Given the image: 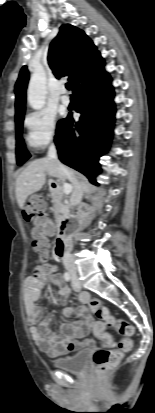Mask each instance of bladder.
Listing matches in <instances>:
<instances>
[{"instance_id":"bladder-1","label":"bladder","mask_w":155,"mask_h":413,"mask_svg":"<svg viewBox=\"0 0 155 413\" xmlns=\"http://www.w3.org/2000/svg\"><path fill=\"white\" fill-rule=\"evenodd\" d=\"M89 354V350H83L75 355L56 359L53 361V365L60 370L81 374L88 368Z\"/></svg>"}]
</instances>
